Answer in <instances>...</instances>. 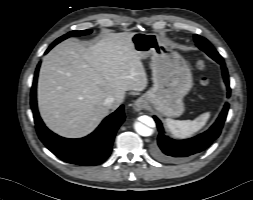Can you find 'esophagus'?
<instances>
[{"label": "esophagus", "mask_w": 253, "mask_h": 200, "mask_svg": "<svg viewBox=\"0 0 253 200\" xmlns=\"http://www.w3.org/2000/svg\"><path fill=\"white\" fill-rule=\"evenodd\" d=\"M146 105V101L143 98H138L133 102L132 107L138 112L146 108Z\"/></svg>", "instance_id": "esophagus-1"}]
</instances>
